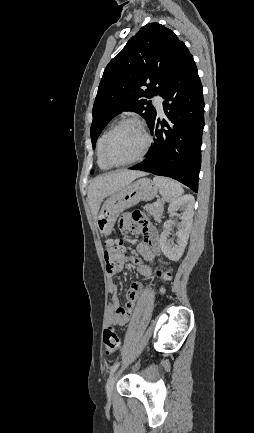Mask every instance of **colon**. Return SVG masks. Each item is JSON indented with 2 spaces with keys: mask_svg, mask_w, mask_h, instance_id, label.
Here are the masks:
<instances>
[{
  "mask_svg": "<svg viewBox=\"0 0 254 433\" xmlns=\"http://www.w3.org/2000/svg\"><path fill=\"white\" fill-rule=\"evenodd\" d=\"M132 221H142V215L139 212H133L130 215ZM123 257V248L116 240H108L104 245V260L108 272L116 271ZM170 270L160 272L162 279L167 280L170 277ZM121 341L117 329L108 325L103 332V348L107 356L114 355L120 349Z\"/></svg>",
  "mask_w": 254,
  "mask_h": 433,
  "instance_id": "1",
  "label": "colon"
}]
</instances>
